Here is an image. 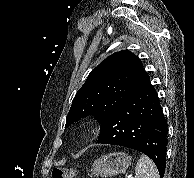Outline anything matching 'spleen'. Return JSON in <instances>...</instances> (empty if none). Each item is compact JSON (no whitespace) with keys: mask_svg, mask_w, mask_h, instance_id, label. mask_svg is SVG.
<instances>
[{"mask_svg":"<svg viewBox=\"0 0 194 178\" xmlns=\"http://www.w3.org/2000/svg\"><path fill=\"white\" fill-rule=\"evenodd\" d=\"M135 178H160L155 164L146 155H141L136 164Z\"/></svg>","mask_w":194,"mask_h":178,"instance_id":"obj_1","label":"spleen"}]
</instances>
